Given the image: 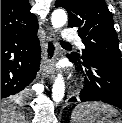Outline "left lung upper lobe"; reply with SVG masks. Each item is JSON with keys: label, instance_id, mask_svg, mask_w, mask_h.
I'll return each instance as SVG.
<instances>
[{"label": "left lung upper lobe", "instance_id": "1", "mask_svg": "<svg viewBox=\"0 0 122 123\" xmlns=\"http://www.w3.org/2000/svg\"><path fill=\"white\" fill-rule=\"evenodd\" d=\"M55 7H63L69 15V27H77L85 49L82 60L102 57L121 61L114 22L104 0H56Z\"/></svg>", "mask_w": 122, "mask_h": 123}]
</instances>
